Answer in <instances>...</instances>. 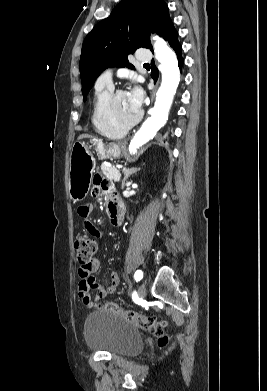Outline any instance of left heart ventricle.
I'll return each instance as SVG.
<instances>
[{
  "mask_svg": "<svg viewBox=\"0 0 267 391\" xmlns=\"http://www.w3.org/2000/svg\"><path fill=\"white\" fill-rule=\"evenodd\" d=\"M114 109L118 118L125 122L134 119L139 113L133 107L127 93L121 94L115 99Z\"/></svg>",
  "mask_w": 267,
  "mask_h": 391,
  "instance_id": "1",
  "label": "left heart ventricle"
}]
</instances>
